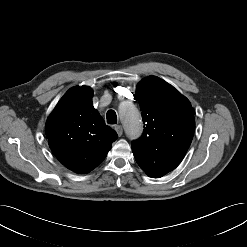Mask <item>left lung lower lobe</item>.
<instances>
[{"label": "left lung lower lobe", "mask_w": 247, "mask_h": 247, "mask_svg": "<svg viewBox=\"0 0 247 247\" xmlns=\"http://www.w3.org/2000/svg\"><path fill=\"white\" fill-rule=\"evenodd\" d=\"M173 169L174 168H170V167H161V168H157L156 170L146 171V173L150 177L159 178L167 174L168 172L172 171Z\"/></svg>", "instance_id": "left-lung-lower-lobe-1"}]
</instances>
